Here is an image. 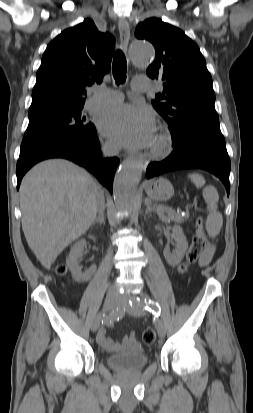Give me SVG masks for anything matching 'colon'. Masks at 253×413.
<instances>
[{"label":"colon","mask_w":253,"mask_h":413,"mask_svg":"<svg viewBox=\"0 0 253 413\" xmlns=\"http://www.w3.org/2000/svg\"><path fill=\"white\" fill-rule=\"evenodd\" d=\"M209 248V240L203 228V221L201 218L197 220V227L192 238L189 249L187 250L185 260L179 267L180 272H185L191 265L195 264L201 259L202 254ZM56 272L59 275L66 273L64 265H58ZM143 343L150 345L155 341V332L153 329H146L142 334Z\"/></svg>","instance_id":"5ec220e1"}]
</instances>
